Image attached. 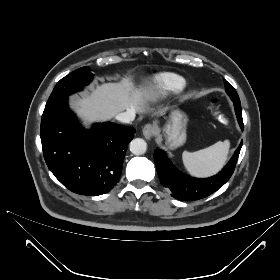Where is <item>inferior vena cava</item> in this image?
I'll return each mask as SVG.
<instances>
[{
	"label": "inferior vena cava",
	"mask_w": 280,
	"mask_h": 280,
	"mask_svg": "<svg viewBox=\"0 0 280 280\" xmlns=\"http://www.w3.org/2000/svg\"><path fill=\"white\" fill-rule=\"evenodd\" d=\"M116 119L123 123H131L135 119V111L127 110L126 112L119 113Z\"/></svg>",
	"instance_id": "inferior-vena-cava-1"
}]
</instances>
